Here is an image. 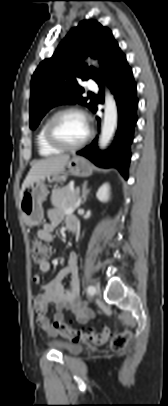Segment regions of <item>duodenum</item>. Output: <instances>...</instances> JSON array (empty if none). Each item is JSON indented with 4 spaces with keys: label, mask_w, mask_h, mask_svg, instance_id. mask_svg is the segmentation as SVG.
<instances>
[{
    "label": "duodenum",
    "mask_w": 168,
    "mask_h": 406,
    "mask_svg": "<svg viewBox=\"0 0 168 406\" xmlns=\"http://www.w3.org/2000/svg\"><path fill=\"white\" fill-rule=\"evenodd\" d=\"M68 228L72 233H76L78 230V221H70L68 224Z\"/></svg>",
    "instance_id": "duodenum-1"
}]
</instances>
